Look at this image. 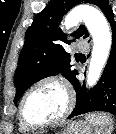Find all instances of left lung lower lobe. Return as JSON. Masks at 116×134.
Segmentation results:
<instances>
[{"mask_svg":"<svg viewBox=\"0 0 116 134\" xmlns=\"http://www.w3.org/2000/svg\"><path fill=\"white\" fill-rule=\"evenodd\" d=\"M112 28V49L105 71L97 85L87 91L85 85L81 88L77 78L71 83L76 91V105L68 119L94 111H105L116 115V22L113 19V11L106 14Z\"/></svg>","mask_w":116,"mask_h":134,"instance_id":"1","label":"left lung lower lobe"}]
</instances>
